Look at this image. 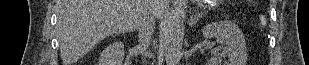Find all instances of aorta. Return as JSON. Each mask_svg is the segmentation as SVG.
I'll return each mask as SVG.
<instances>
[{
	"mask_svg": "<svg viewBox=\"0 0 309 65\" xmlns=\"http://www.w3.org/2000/svg\"><path fill=\"white\" fill-rule=\"evenodd\" d=\"M184 6L182 0H173L168 17L164 51L167 65H178L181 57V41L183 35Z\"/></svg>",
	"mask_w": 309,
	"mask_h": 65,
	"instance_id": "1",
	"label": "aorta"
}]
</instances>
